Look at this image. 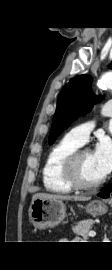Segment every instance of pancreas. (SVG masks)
Returning a JSON list of instances; mask_svg holds the SVG:
<instances>
[{"instance_id":"cf45deb5","label":"pancreas","mask_w":112,"mask_h":270,"mask_svg":"<svg viewBox=\"0 0 112 270\" xmlns=\"http://www.w3.org/2000/svg\"><path fill=\"white\" fill-rule=\"evenodd\" d=\"M93 223L94 222L90 219L82 220L76 223L72 227V230L76 235L81 236L86 240L88 238L89 232L91 231Z\"/></svg>"}]
</instances>
